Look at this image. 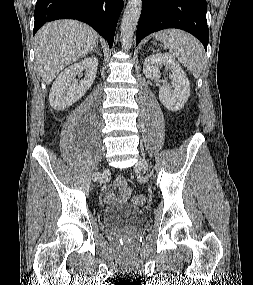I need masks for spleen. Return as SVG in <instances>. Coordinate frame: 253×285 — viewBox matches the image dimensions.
<instances>
[{"instance_id": "spleen-1", "label": "spleen", "mask_w": 253, "mask_h": 285, "mask_svg": "<svg viewBox=\"0 0 253 285\" xmlns=\"http://www.w3.org/2000/svg\"><path fill=\"white\" fill-rule=\"evenodd\" d=\"M155 37L169 48L195 78L200 76L205 64V54L202 44L195 37L178 29L159 31Z\"/></svg>"}]
</instances>
